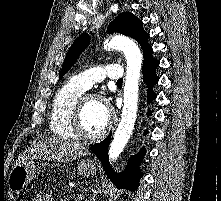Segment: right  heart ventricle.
Instances as JSON below:
<instances>
[{
    "label": "right heart ventricle",
    "instance_id": "1",
    "mask_svg": "<svg viewBox=\"0 0 221 201\" xmlns=\"http://www.w3.org/2000/svg\"><path fill=\"white\" fill-rule=\"evenodd\" d=\"M85 89L70 81L56 93L50 113V129L54 135L62 139H75L72 130V116L75 106Z\"/></svg>",
    "mask_w": 221,
    "mask_h": 201
}]
</instances>
